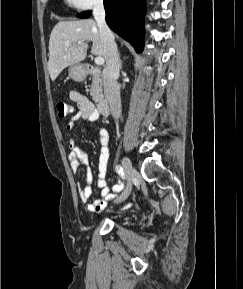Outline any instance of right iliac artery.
Masks as SVG:
<instances>
[{
  "instance_id": "obj_1",
  "label": "right iliac artery",
  "mask_w": 243,
  "mask_h": 289,
  "mask_svg": "<svg viewBox=\"0 0 243 289\" xmlns=\"http://www.w3.org/2000/svg\"><path fill=\"white\" fill-rule=\"evenodd\" d=\"M115 170L119 175H123V168L120 165H117Z\"/></svg>"
}]
</instances>
